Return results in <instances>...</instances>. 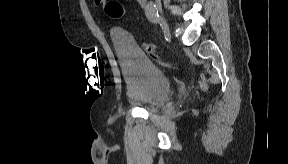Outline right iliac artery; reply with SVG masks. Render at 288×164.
<instances>
[{
    "instance_id": "obj_1",
    "label": "right iliac artery",
    "mask_w": 288,
    "mask_h": 164,
    "mask_svg": "<svg viewBox=\"0 0 288 164\" xmlns=\"http://www.w3.org/2000/svg\"><path fill=\"white\" fill-rule=\"evenodd\" d=\"M146 16L149 19V21L154 24H157L159 22L158 11H156L152 7H149V6L147 7Z\"/></svg>"
}]
</instances>
